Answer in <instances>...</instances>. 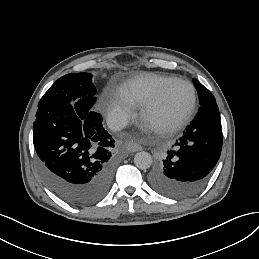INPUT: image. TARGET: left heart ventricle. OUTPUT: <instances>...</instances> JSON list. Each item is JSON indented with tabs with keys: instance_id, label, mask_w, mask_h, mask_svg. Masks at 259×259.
I'll use <instances>...</instances> for the list:
<instances>
[{
	"instance_id": "1",
	"label": "left heart ventricle",
	"mask_w": 259,
	"mask_h": 259,
	"mask_svg": "<svg viewBox=\"0 0 259 259\" xmlns=\"http://www.w3.org/2000/svg\"><path fill=\"white\" fill-rule=\"evenodd\" d=\"M190 98L191 91L186 83H174L168 89L163 104L154 111L147 120L156 130L162 129L174 115L182 111L187 106Z\"/></svg>"
}]
</instances>
